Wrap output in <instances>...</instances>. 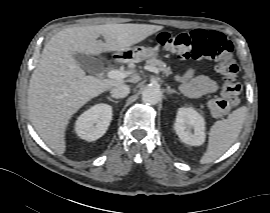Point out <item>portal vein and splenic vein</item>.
Wrapping results in <instances>:
<instances>
[{
  "mask_svg": "<svg viewBox=\"0 0 270 213\" xmlns=\"http://www.w3.org/2000/svg\"><path fill=\"white\" fill-rule=\"evenodd\" d=\"M146 70L154 72L156 74H159V69H157L156 67L153 66H146L145 67ZM131 74V72L129 71H121V70H110L107 73V77L111 78V79H124L127 76H129Z\"/></svg>",
  "mask_w": 270,
  "mask_h": 213,
  "instance_id": "18ae733b",
  "label": "portal vein and splenic vein"
}]
</instances>
